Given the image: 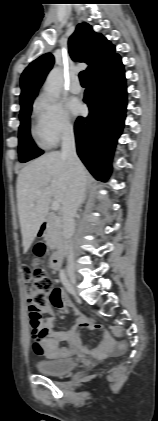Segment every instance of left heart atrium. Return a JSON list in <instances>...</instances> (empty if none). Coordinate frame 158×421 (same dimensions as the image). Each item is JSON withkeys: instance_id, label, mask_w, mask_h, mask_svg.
<instances>
[{"instance_id": "left-heart-atrium-1", "label": "left heart atrium", "mask_w": 158, "mask_h": 421, "mask_svg": "<svg viewBox=\"0 0 158 421\" xmlns=\"http://www.w3.org/2000/svg\"><path fill=\"white\" fill-rule=\"evenodd\" d=\"M68 110L74 116H77L83 112V105L77 99H71L67 104Z\"/></svg>"}]
</instances>
